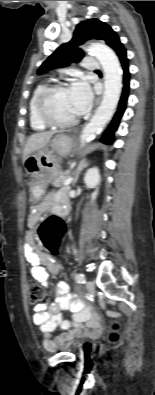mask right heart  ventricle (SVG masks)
<instances>
[{
  "label": "right heart ventricle",
  "mask_w": 155,
  "mask_h": 395,
  "mask_svg": "<svg viewBox=\"0 0 155 395\" xmlns=\"http://www.w3.org/2000/svg\"><path fill=\"white\" fill-rule=\"evenodd\" d=\"M46 86L47 84L45 83L37 85L29 100V122L32 129L36 131H43L49 127L38 118L35 107L38 95Z\"/></svg>",
  "instance_id": "1"
}]
</instances>
